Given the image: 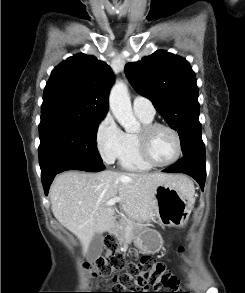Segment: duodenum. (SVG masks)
Here are the masks:
<instances>
[{"label": "duodenum", "mask_w": 245, "mask_h": 293, "mask_svg": "<svg viewBox=\"0 0 245 293\" xmlns=\"http://www.w3.org/2000/svg\"><path fill=\"white\" fill-rule=\"evenodd\" d=\"M108 235H114L115 234V228L113 225H109L107 228Z\"/></svg>", "instance_id": "410a0bca"}]
</instances>
